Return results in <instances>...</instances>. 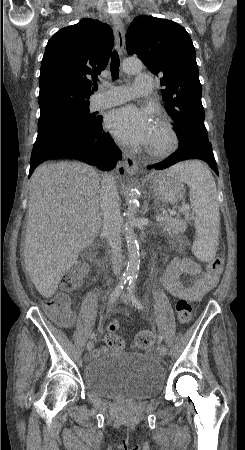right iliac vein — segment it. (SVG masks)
<instances>
[{"label": "right iliac vein", "mask_w": 245, "mask_h": 450, "mask_svg": "<svg viewBox=\"0 0 245 450\" xmlns=\"http://www.w3.org/2000/svg\"><path fill=\"white\" fill-rule=\"evenodd\" d=\"M93 347H94V344H93L92 341H89V342L87 343V345H86V348H87L88 351L92 350Z\"/></svg>", "instance_id": "1"}]
</instances>
